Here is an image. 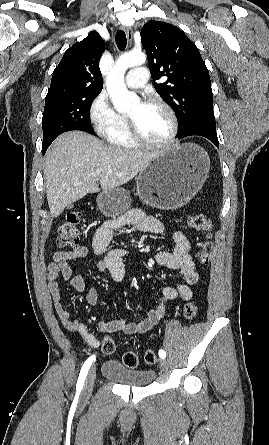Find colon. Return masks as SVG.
<instances>
[{
  "label": "colon",
  "mask_w": 269,
  "mask_h": 445,
  "mask_svg": "<svg viewBox=\"0 0 269 445\" xmlns=\"http://www.w3.org/2000/svg\"><path fill=\"white\" fill-rule=\"evenodd\" d=\"M82 213L80 211H72L66 214L63 222L58 228L57 244L61 248H78L80 243V223ZM189 228L202 232L203 239L199 243V251L197 254L198 261L202 265L209 262L210 252L212 249L211 242V220L204 214H194L187 220ZM197 314V306L193 303H187L183 308L185 319L192 320ZM116 345L113 337L106 335L102 340V350L106 354L115 351ZM144 361L146 364H155L157 355L153 350H147L144 353ZM122 362L126 367L136 368L139 364V357L135 352L128 351L123 354Z\"/></svg>",
  "instance_id": "obj_1"
}]
</instances>
